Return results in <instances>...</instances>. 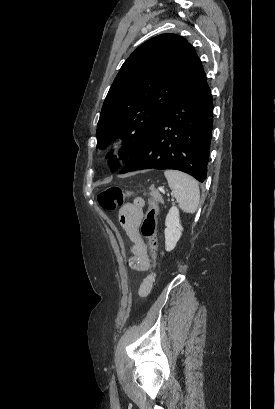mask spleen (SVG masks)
Instances as JSON below:
<instances>
[{
	"label": "spleen",
	"instance_id": "3e777b00",
	"mask_svg": "<svg viewBox=\"0 0 275 409\" xmlns=\"http://www.w3.org/2000/svg\"><path fill=\"white\" fill-rule=\"evenodd\" d=\"M164 174L181 211L195 213L200 200L197 180L185 172H180V170H165Z\"/></svg>",
	"mask_w": 275,
	"mask_h": 409
}]
</instances>
